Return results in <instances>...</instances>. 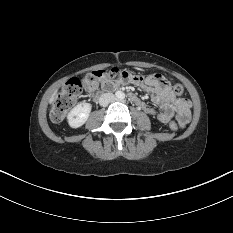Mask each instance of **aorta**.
<instances>
[{
  "label": "aorta",
  "mask_w": 233,
  "mask_h": 233,
  "mask_svg": "<svg viewBox=\"0 0 233 233\" xmlns=\"http://www.w3.org/2000/svg\"><path fill=\"white\" fill-rule=\"evenodd\" d=\"M116 97H117V99L122 100V99L125 98V94H124V92H122V91H117V92H116Z\"/></svg>",
  "instance_id": "1"
}]
</instances>
